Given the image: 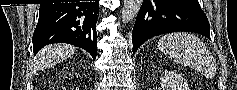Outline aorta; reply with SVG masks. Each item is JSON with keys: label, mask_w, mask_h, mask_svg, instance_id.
<instances>
[{"label": "aorta", "mask_w": 237, "mask_h": 90, "mask_svg": "<svg viewBox=\"0 0 237 90\" xmlns=\"http://www.w3.org/2000/svg\"><path fill=\"white\" fill-rule=\"evenodd\" d=\"M142 4L143 0H124L121 12L122 24L124 26L136 18Z\"/></svg>", "instance_id": "aorta-1"}]
</instances>
